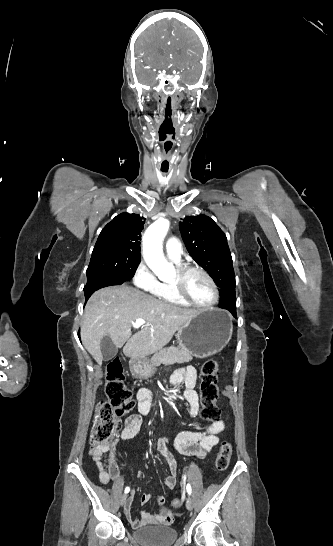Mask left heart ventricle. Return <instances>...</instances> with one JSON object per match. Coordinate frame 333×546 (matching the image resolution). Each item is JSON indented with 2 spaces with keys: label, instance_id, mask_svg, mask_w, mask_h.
<instances>
[{
  "label": "left heart ventricle",
  "instance_id": "b2bd125f",
  "mask_svg": "<svg viewBox=\"0 0 333 546\" xmlns=\"http://www.w3.org/2000/svg\"><path fill=\"white\" fill-rule=\"evenodd\" d=\"M176 278L177 275L175 274L173 281H175ZM184 284L188 295L194 301L201 304H207L213 301V288L201 273L197 271L189 272L184 279Z\"/></svg>",
  "mask_w": 333,
  "mask_h": 546
}]
</instances>
